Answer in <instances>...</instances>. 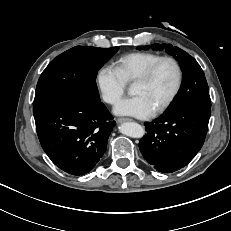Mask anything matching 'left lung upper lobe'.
<instances>
[{"instance_id":"5c2ea615","label":"left lung upper lobe","mask_w":231,"mask_h":231,"mask_svg":"<svg viewBox=\"0 0 231 231\" xmlns=\"http://www.w3.org/2000/svg\"><path fill=\"white\" fill-rule=\"evenodd\" d=\"M149 48L150 46L138 47L139 50H147ZM151 48L155 50L165 49L168 54L172 55L179 62L183 71L181 89L167 110L182 106L211 108L208 84L197 61L182 49L173 47L171 44H152Z\"/></svg>"}]
</instances>
